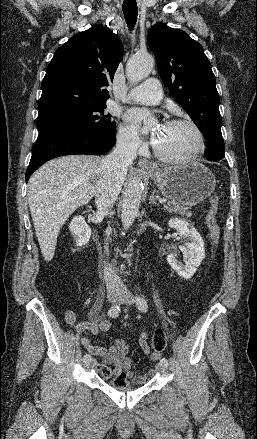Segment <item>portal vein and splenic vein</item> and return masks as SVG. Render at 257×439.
<instances>
[{
	"label": "portal vein and splenic vein",
	"mask_w": 257,
	"mask_h": 439,
	"mask_svg": "<svg viewBox=\"0 0 257 439\" xmlns=\"http://www.w3.org/2000/svg\"><path fill=\"white\" fill-rule=\"evenodd\" d=\"M159 202L163 204V203H165V202H166V199H164V198H162V199H159Z\"/></svg>",
	"instance_id": "portal-vein-and-splenic-vein-1"
}]
</instances>
